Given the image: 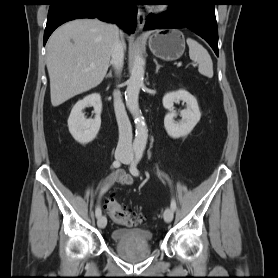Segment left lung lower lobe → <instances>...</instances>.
Wrapping results in <instances>:
<instances>
[{
	"instance_id": "left-lung-lower-lobe-1",
	"label": "left lung lower lobe",
	"mask_w": 278,
	"mask_h": 278,
	"mask_svg": "<svg viewBox=\"0 0 278 278\" xmlns=\"http://www.w3.org/2000/svg\"><path fill=\"white\" fill-rule=\"evenodd\" d=\"M168 11L150 14L145 29L189 28L205 39L218 56L216 0H165Z\"/></svg>"
}]
</instances>
